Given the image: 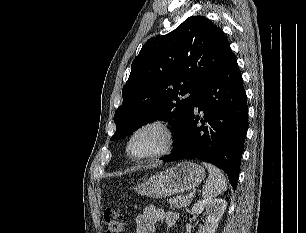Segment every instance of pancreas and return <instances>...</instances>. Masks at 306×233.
Masks as SVG:
<instances>
[{"instance_id":"obj_1","label":"pancreas","mask_w":306,"mask_h":233,"mask_svg":"<svg viewBox=\"0 0 306 233\" xmlns=\"http://www.w3.org/2000/svg\"><path fill=\"white\" fill-rule=\"evenodd\" d=\"M168 202L170 203L171 207L174 206L175 208L180 209L182 207H187L188 205H190L191 199L188 196L180 195L178 197L170 198Z\"/></svg>"}]
</instances>
